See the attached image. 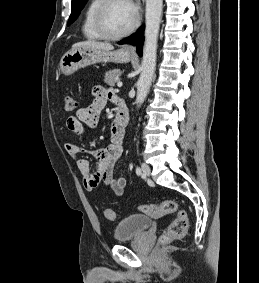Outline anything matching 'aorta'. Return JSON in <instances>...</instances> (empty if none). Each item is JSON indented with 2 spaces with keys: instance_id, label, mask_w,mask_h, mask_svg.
Masks as SVG:
<instances>
[{
  "instance_id": "762f6f07",
  "label": "aorta",
  "mask_w": 259,
  "mask_h": 283,
  "mask_svg": "<svg viewBox=\"0 0 259 283\" xmlns=\"http://www.w3.org/2000/svg\"><path fill=\"white\" fill-rule=\"evenodd\" d=\"M163 0H146L145 42L141 63V74L137 81L136 104L141 106L150 89L157 53V39L161 22Z\"/></svg>"
}]
</instances>
